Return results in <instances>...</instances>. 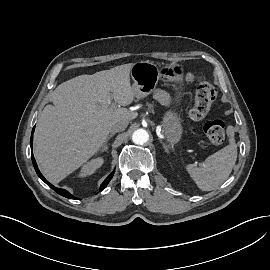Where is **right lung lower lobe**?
Masks as SVG:
<instances>
[{
	"label": "right lung lower lobe",
	"mask_w": 270,
	"mask_h": 270,
	"mask_svg": "<svg viewBox=\"0 0 270 270\" xmlns=\"http://www.w3.org/2000/svg\"><path fill=\"white\" fill-rule=\"evenodd\" d=\"M35 127L32 130V135H31V139H30V143H31V148H32V143H33V132H34ZM32 157V162H33V166L36 170V173L38 174V176L49 186L51 187L55 192H57L58 194L67 197L69 199H76V197H74L73 195H71L68 191L64 190V189H60V188H56L55 186H53L52 184H50L41 174V172L38 169V166L36 164L35 158L33 157V153L31 154ZM114 172H112L106 179L105 181L101 184L100 187V191H102L107 184L109 183V181L111 180V178L113 177Z\"/></svg>",
	"instance_id": "right-lung-lower-lobe-1"
}]
</instances>
